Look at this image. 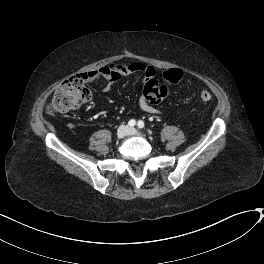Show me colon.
Wrapping results in <instances>:
<instances>
[{
  "mask_svg": "<svg viewBox=\"0 0 264 264\" xmlns=\"http://www.w3.org/2000/svg\"><path fill=\"white\" fill-rule=\"evenodd\" d=\"M182 71L178 68H170L162 73V81L149 80L143 88L144 95L153 102L166 99L169 96L170 87L182 79ZM92 97L91 90L80 77L69 78L60 83L53 94L51 104L47 106L49 113H64L80 108ZM211 93L207 89L200 92V98L207 102L211 100Z\"/></svg>",
  "mask_w": 264,
  "mask_h": 264,
  "instance_id": "obj_1",
  "label": "colon"
}]
</instances>
